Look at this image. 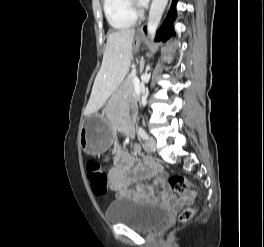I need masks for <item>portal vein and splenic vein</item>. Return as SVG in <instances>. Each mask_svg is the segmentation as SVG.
Returning a JSON list of instances; mask_svg holds the SVG:
<instances>
[{
	"instance_id": "18ae733b",
	"label": "portal vein and splenic vein",
	"mask_w": 264,
	"mask_h": 247,
	"mask_svg": "<svg viewBox=\"0 0 264 247\" xmlns=\"http://www.w3.org/2000/svg\"><path fill=\"white\" fill-rule=\"evenodd\" d=\"M131 81L134 82V83H138L139 79L137 77H134Z\"/></svg>"
}]
</instances>
